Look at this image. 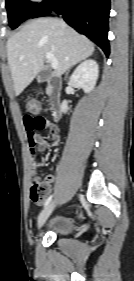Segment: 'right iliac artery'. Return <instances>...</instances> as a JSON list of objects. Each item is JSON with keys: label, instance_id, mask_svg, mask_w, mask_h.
<instances>
[{"label": "right iliac artery", "instance_id": "obj_1", "mask_svg": "<svg viewBox=\"0 0 134 281\" xmlns=\"http://www.w3.org/2000/svg\"><path fill=\"white\" fill-rule=\"evenodd\" d=\"M52 197H53V195H50V196L47 198V200L45 201L44 207H46V206L50 203V201L52 200Z\"/></svg>", "mask_w": 134, "mask_h": 281}]
</instances>
